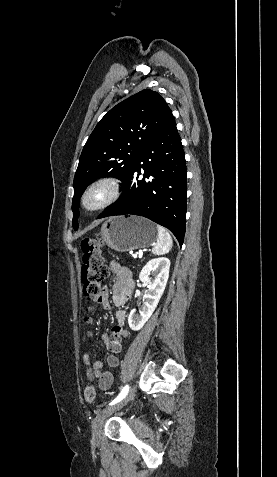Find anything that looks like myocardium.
Segmentation results:
<instances>
[{
  "label": "myocardium",
  "instance_id": "f54148a6",
  "mask_svg": "<svg viewBox=\"0 0 277 477\" xmlns=\"http://www.w3.org/2000/svg\"><path fill=\"white\" fill-rule=\"evenodd\" d=\"M121 195V184L111 176L99 177L85 188L80 206L87 213L102 211L115 203Z\"/></svg>",
  "mask_w": 277,
  "mask_h": 477
}]
</instances>
